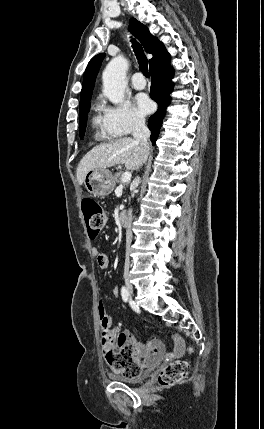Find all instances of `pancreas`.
<instances>
[{
  "mask_svg": "<svg viewBox=\"0 0 264 429\" xmlns=\"http://www.w3.org/2000/svg\"><path fill=\"white\" fill-rule=\"evenodd\" d=\"M122 175H123V172H117L115 175H114V180H115V182H117L118 184H121L122 183V181H121V178H122ZM123 184H128V182H126V183H123Z\"/></svg>",
  "mask_w": 264,
  "mask_h": 429,
  "instance_id": "cf45deb5",
  "label": "pancreas"
}]
</instances>
